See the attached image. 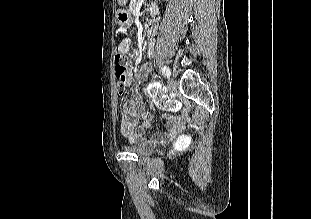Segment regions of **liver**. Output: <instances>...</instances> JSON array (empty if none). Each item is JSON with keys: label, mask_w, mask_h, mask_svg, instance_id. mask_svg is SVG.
Listing matches in <instances>:
<instances>
[{"label": "liver", "mask_w": 311, "mask_h": 219, "mask_svg": "<svg viewBox=\"0 0 311 219\" xmlns=\"http://www.w3.org/2000/svg\"><path fill=\"white\" fill-rule=\"evenodd\" d=\"M126 2H127V0H118V3H119L120 5H124Z\"/></svg>", "instance_id": "liver-1"}]
</instances>
